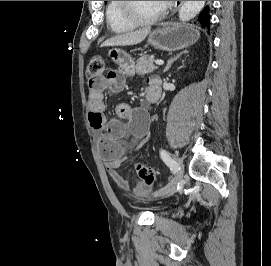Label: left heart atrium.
Returning <instances> with one entry per match:
<instances>
[{"instance_id":"39dd6f15","label":"left heart atrium","mask_w":271,"mask_h":266,"mask_svg":"<svg viewBox=\"0 0 271 266\" xmlns=\"http://www.w3.org/2000/svg\"><path fill=\"white\" fill-rule=\"evenodd\" d=\"M162 6L168 4L170 1H159Z\"/></svg>"}]
</instances>
